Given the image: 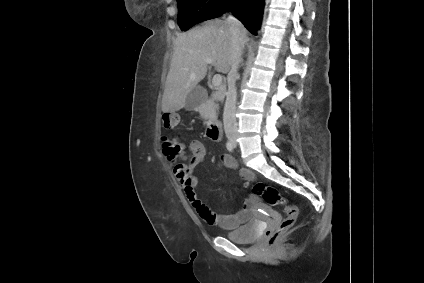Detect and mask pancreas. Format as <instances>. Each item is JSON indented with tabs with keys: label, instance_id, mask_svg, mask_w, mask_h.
Segmentation results:
<instances>
[{
	"label": "pancreas",
	"instance_id": "obj_1",
	"mask_svg": "<svg viewBox=\"0 0 424 283\" xmlns=\"http://www.w3.org/2000/svg\"><path fill=\"white\" fill-rule=\"evenodd\" d=\"M216 110H218V104L213 101H209L201 106L200 115L205 119H209L212 115H214Z\"/></svg>",
	"mask_w": 424,
	"mask_h": 283
}]
</instances>
